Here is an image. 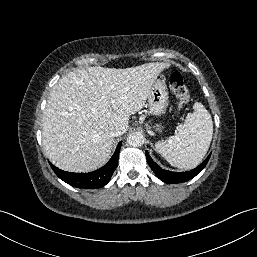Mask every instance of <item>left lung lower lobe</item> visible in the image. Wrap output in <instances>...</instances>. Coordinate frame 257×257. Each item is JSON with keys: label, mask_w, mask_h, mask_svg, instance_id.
Here are the masks:
<instances>
[{"label": "left lung lower lobe", "mask_w": 257, "mask_h": 257, "mask_svg": "<svg viewBox=\"0 0 257 257\" xmlns=\"http://www.w3.org/2000/svg\"><path fill=\"white\" fill-rule=\"evenodd\" d=\"M147 162L156 176L165 183L176 184L188 181L199 174L208 163L210 155L195 169L186 172H171L159 167L150 157L148 151H145Z\"/></svg>", "instance_id": "obj_1"}]
</instances>
